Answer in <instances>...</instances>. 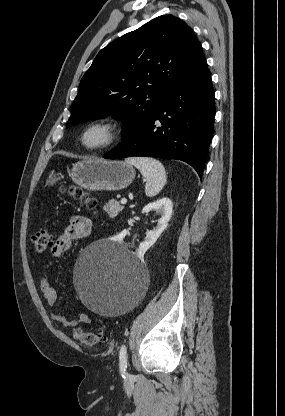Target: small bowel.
<instances>
[{"instance_id":"1","label":"small bowel","mask_w":285,"mask_h":416,"mask_svg":"<svg viewBox=\"0 0 285 416\" xmlns=\"http://www.w3.org/2000/svg\"><path fill=\"white\" fill-rule=\"evenodd\" d=\"M91 231L92 222L88 217L82 215L73 216L68 226L53 243L51 247V255L54 257L62 256L70 248L73 241L87 238L91 234ZM39 285L47 304L55 306L58 301V294L50 285L48 279L46 277H42ZM50 316L53 321L60 323L65 328L76 327L80 324H88L90 322L89 316L85 313H81L73 319H69L55 311H52Z\"/></svg>"}]
</instances>
